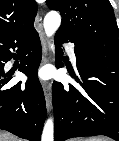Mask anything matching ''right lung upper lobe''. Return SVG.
I'll use <instances>...</instances> for the list:
<instances>
[{"instance_id": "right-lung-upper-lobe-1", "label": "right lung upper lobe", "mask_w": 119, "mask_h": 141, "mask_svg": "<svg viewBox=\"0 0 119 141\" xmlns=\"http://www.w3.org/2000/svg\"><path fill=\"white\" fill-rule=\"evenodd\" d=\"M35 0H0V46L34 28Z\"/></svg>"}]
</instances>
